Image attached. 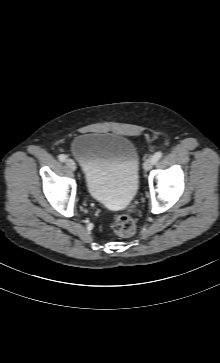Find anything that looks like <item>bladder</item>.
<instances>
[{"label": "bladder", "mask_w": 220, "mask_h": 363, "mask_svg": "<svg viewBox=\"0 0 220 363\" xmlns=\"http://www.w3.org/2000/svg\"><path fill=\"white\" fill-rule=\"evenodd\" d=\"M71 153L80 163L88 194L108 207L123 209L139 185V154L125 136L86 133L77 136Z\"/></svg>", "instance_id": "1"}]
</instances>
